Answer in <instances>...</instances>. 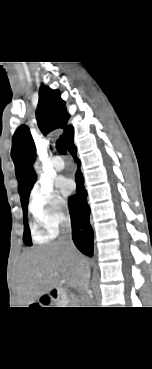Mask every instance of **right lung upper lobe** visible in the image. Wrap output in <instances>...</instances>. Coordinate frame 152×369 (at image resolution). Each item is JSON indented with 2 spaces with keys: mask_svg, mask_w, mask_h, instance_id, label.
I'll use <instances>...</instances> for the list:
<instances>
[{
  "mask_svg": "<svg viewBox=\"0 0 152 369\" xmlns=\"http://www.w3.org/2000/svg\"><path fill=\"white\" fill-rule=\"evenodd\" d=\"M64 106L65 102L60 98L58 90H51L44 85L40 87L39 103L36 111L38 126L44 134L56 128H63L62 137L68 144L73 140L74 130L72 126H67L70 115L66 112ZM12 141L11 157L15 164L18 192L21 203H23L36 181V174L32 167L35 159V145L26 125H21L16 130Z\"/></svg>",
  "mask_w": 152,
  "mask_h": 369,
  "instance_id": "1",
  "label": "right lung upper lobe"
}]
</instances>
